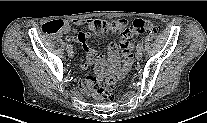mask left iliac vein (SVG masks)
Masks as SVG:
<instances>
[{
  "label": "left iliac vein",
  "mask_w": 207,
  "mask_h": 123,
  "mask_svg": "<svg viewBox=\"0 0 207 123\" xmlns=\"http://www.w3.org/2000/svg\"><path fill=\"white\" fill-rule=\"evenodd\" d=\"M141 58H142V50L137 49V52H136V59H137V60H140Z\"/></svg>",
  "instance_id": "obj_1"
}]
</instances>
